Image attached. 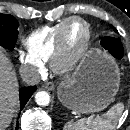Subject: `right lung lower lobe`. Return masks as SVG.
<instances>
[{"label":"right lung lower lobe","instance_id":"1","mask_svg":"<svg viewBox=\"0 0 130 130\" xmlns=\"http://www.w3.org/2000/svg\"><path fill=\"white\" fill-rule=\"evenodd\" d=\"M36 89H37L36 86H29V87H26V88H22L19 91V95H20V112L22 111L25 104L28 102V100L30 99V97L32 96V94L35 92ZM15 130H18V124H17Z\"/></svg>","mask_w":130,"mask_h":130}]
</instances>
